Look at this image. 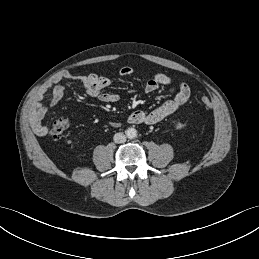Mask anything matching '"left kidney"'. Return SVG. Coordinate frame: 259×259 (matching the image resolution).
<instances>
[{"instance_id": "1", "label": "left kidney", "mask_w": 259, "mask_h": 259, "mask_svg": "<svg viewBox=\"0 0 259 259\" xmlns=\"http://www.w3.org/2000/svg\"><path fill=\"white\" fill-rule=\"evenodd\" d=\"M175 125H176L177 129H182L183 128V124H181V123H175Z\"/></svg>"}]
</instances>
